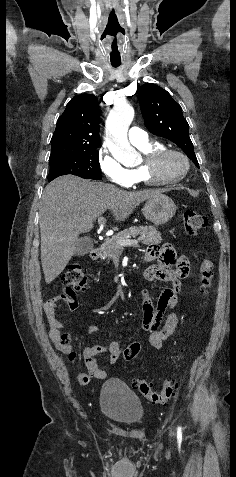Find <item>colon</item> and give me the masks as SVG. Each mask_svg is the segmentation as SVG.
Returning a JSON list of instances; mask_svg holds the SVG:
<instances>
[{
	"instance_id": "obj_1",
	"label": "colon",
	"mask_w": 236,
	"mask_h": 477,
	"mask_svg": "<svg viewBox=\"0 0 236 477\" xmlns=\"http://www.w3.org/2000/svg\"><path fill=\"white\" fill-rule=\"evenodd\" d=\"M184 229L189 236H195L207 227V219L201 213L187 209L183 214ZM183 265L177 266V271L185 274L188 270L187 259L182 260ZM213 263L208 258H203L199 269L200 292L203 297H207L211 290L213 279ZM63 283L65 291L68 294L75 292H84L89 286V278L84 268L79 264H70L63 274ZM63 342H68V336H62ZM141 351V345L138 342L129 344L123 351V358L126 361L135 359ZM73 358V355H71ZM182 359V356L179 358ZM136 389L148 400L156 404H163L172 399L178 389L176 378L170 377L164 380L159 389L154 388L150 383L144 380H137Z\"/></svg>"
}]
</instances>
